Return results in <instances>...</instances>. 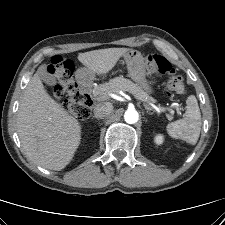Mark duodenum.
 Wrapping results in <instances>:
<instances>
[{"label": "duodenum", "instance_id": "410a0bca", "mask_svg": "<svg viewBox=\"0 0 225 225\" xmlns=\"http://www.w3.org/2000/svg\"><path fill=\"white\" fill-rule=\"evenodd\" d=\"M78 85L79 88L81 89V91L88 96V98L90 99V101L93 103L91 96L88 94V90L90 88V84L86 83L85 80L83 79H79L78 80Z\"/></svg>", "mask_w": 225, "mask_h": 225}]
</instances>
